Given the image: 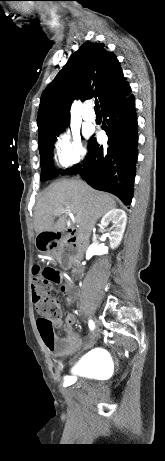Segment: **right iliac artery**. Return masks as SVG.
<instances>
[{
  "mask_svg": "<svg viewBox=\"0 0 165 461\" xmlns=\"http://www.w3.org/2000/svg\"><path fill=\"white\" fill-rule=\"evenodd\" d=\"M89 327H90L91 330L94 328V323L91 320L89 321Z\"/></svg>",
  "mask_w": 165,
  "mask_h": 461,
  "instance_id": "82829eb1",
  "label": "right iliac artery"
}]
</instances>
